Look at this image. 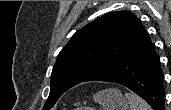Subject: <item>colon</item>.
I'll list each match as a JSON object with an SVG mask.
<instances>
[{
  "mask_svg": "<svg viewBox=\"0 0 171 110\" xmlns=\"http://www.w3.org/2000/svg\"><path fill=\"white\" fill-rule=\"evenodd\" d=\"M75 110H89L87 107H79V108H76Z\"/></svg>",
  "mask_w": 171,
  "mask_h": 110,
  "instance_id": "obj_1",
  "label": "colon"
}]
</instances>
